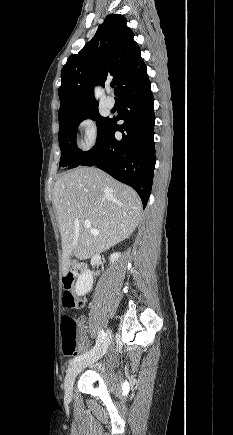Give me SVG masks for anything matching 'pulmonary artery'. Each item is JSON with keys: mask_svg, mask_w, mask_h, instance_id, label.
I'll return each instance as SVG.
<instances>
[{"mask_svg": "<svg viewBox=\"0 0 233 435\" xmlns=\"http://www.w3.org/2000/svg\"><path fill=\"white\" fill-rule=\"evenodd\" d=\"M105 103H106V106L110 109L115 106V100L111 95L107 96Z\"/></svg>", "mask_w": 233, "mask_h": 435, "instance_id": "pulmonary-artery-1", "label": "pulmonary artery"}]
</instances>
